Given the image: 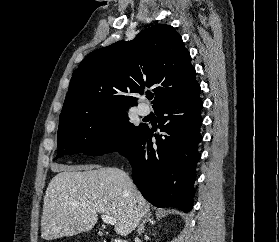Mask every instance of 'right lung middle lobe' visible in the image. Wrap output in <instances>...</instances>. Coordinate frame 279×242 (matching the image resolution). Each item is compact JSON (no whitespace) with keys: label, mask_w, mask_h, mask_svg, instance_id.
Returning <instances> with one entry per match:
<instances>
[{"label":"right lung middle lobe","mask_w":279,"mask_h":242,"mask_svg":"<svg viewBox=\"0 0 279 242\" xmlns=\"http://www.w3.org/2000/svg\"><path fill=\"white\" fill-rule=\"evenodd\" d=\"M134 126L126 112L105 118H86L59 125L58 157L65 154L101 155L127 148L144 129Z\"/></svg>","instance_id":"dd1d6c3e"}]
</instances>
